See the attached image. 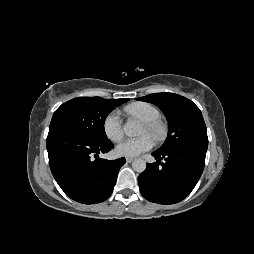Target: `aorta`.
<instances>
[{
    "instance_id": "1",
    "label": "aorta",
    "mask_w": 254,
    "mask_h": 254,
    "mask_svg": "<svg viewBox=\"0 0 254 254\" xmlns=\"http://www.w3.org/2000/svg\"><path fill=\"white\" fill-rule=\"evenodd\" d=\"M124 132L127 136H138L141 133L140 124L137 121L129 120L124 126ZM146 162L143 159H135L132 162L134 171L142 173L146 170Z\"/></svg>"
}]
</instances>
